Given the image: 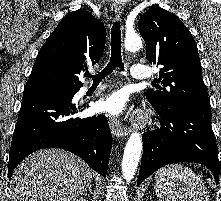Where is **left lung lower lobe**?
Listing matches in <instances>:
<instances>
[{
  "label": "left lung lower lobe",
  "mask_w": 221,
  "mask_h": 201,
  "mask_svg": "<svg viewBox=\"0 0 221 201\" xmlns=\"http://www.w3.org/2000/svg\"><path fill=\"white\" fill-rule=\"evenodd\" d=\"M161 127L143 134L144 148L137 185L159 168L176 162H197L211 170L218 183L221 162L207 106L163 111L155 107Z\"/></svg>",
  "instance_id": "0a47b994"
}]
</instances>
